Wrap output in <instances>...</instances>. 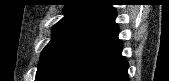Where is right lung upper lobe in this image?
Instances as JSON below:
<instances>
[{
	"instance_id": "right-lung-upper-lobe-1",
	"label": "right lung upper lobe",
	"mask_w": 169,
	"mask_h": 81,
	"mask_svg": "<svg viewBox=\"0 0 169 81\" xmlns=\"http://www.w3.org/2000/svg\"><path fill=\"white\" fill-rule=\"evenodd\" d=\"M101 1L103 0H72L70 4L65 5L63 19H82L89 23L115 11L111 5Z\"/></svg>"
}]
</instances>
